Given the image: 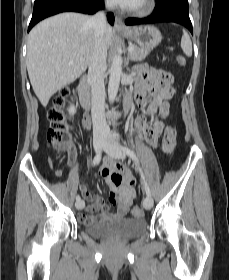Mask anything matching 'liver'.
Returning <instances> with one entry per match:
<instances>
[{"label":"liver","instance_id":"6515ba94","mask_svg":"<svg viewBox=\"0 0 229 280\" xmlns=\"http://www.w3.org/2000/svg\"><path fill=\"white\" fill-rule=\"evenodd\" d=\"M89 19L79 13H62L45 19L30 31L26 66L43 107L58 90L86 71L95 45ZM112 38L113 30L107 25L103 38L106 48Z\"/></svg>","mask_w":229,"mask_h":280}]
</instances>
